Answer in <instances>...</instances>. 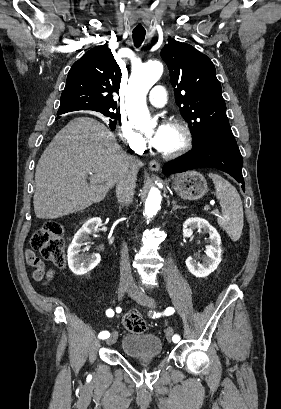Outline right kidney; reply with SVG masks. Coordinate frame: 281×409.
Wrapping results in <instances>:
<instances>
[{"label":"right kidney","mask_w":281,"mask_h":409,"mask_svg":"<svg viewBox=\"0 0 281 409\" xmlns=\"http://www.w3.org/2000/svg\"><path fill=\"white\" fill-rule=\"evenodd\" d=\"M100 225H102L100 217H92V219H87L81 229L75 233L74 239L68 247L71 255V271L74 275H86V273L92 271L100 263L101 257L99 253H93V255H88V257L80 255L81 247L88 245L89 235L96 233Z\"/></svg>","instance_id":"1"}]
</instances>
